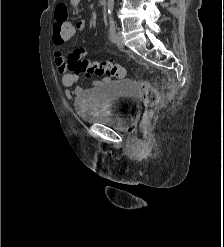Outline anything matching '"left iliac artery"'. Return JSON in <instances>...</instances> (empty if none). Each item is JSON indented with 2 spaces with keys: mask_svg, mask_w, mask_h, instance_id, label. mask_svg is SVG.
<instances>
[{
  "mask_svg": "<svg viewBox=\"0 0 224 247\" xmlns=\"http://www.w3.org/2000/svg\"><path fill=\"white\" fill-rule=\"evenodd\" d=\"M116 24L113 19H110V29H109V37L112 42H115L116 37Z\"/></svg>",
  "mask_w": 224,
  "mask_h": 247,
  "instance_id": "1",
  "label": "left iliac artery"
}]
</instances>
